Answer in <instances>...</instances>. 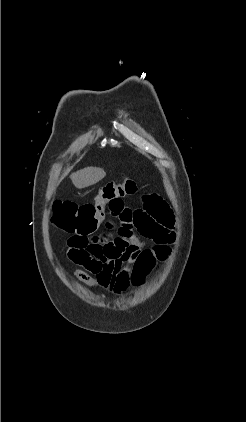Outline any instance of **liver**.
Listing matches in <instances>:
<instances>
[{
	"instance_id": "6515ba94",
	"label": "liver",
	"mask_w": 246,
	"mask_h": 422,
	"mask_svg": "<svg viewBox=\"0 0 246 422\" xmlns=\"http://www.w3.org/2000/svg\"><path fill=\"white\" fill-rule=\"evenodd\" d=\"M105 175V171L101 168L87 167L72 173L70 178L76 188L82 189L96 184L102 180Z\"/></svg>"
}]
</instances>
